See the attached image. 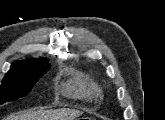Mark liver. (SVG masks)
Returning a JSON list of instances; mask_svg holds the SVG:
<instances>
[{
  "instance_id": "obj_1",
  "label": "liver",
  "mask_w": 165,
  "mask_h": 120,
  "mask_svg": "<svg viewBox=\"0 0 165 120\" xmlns=\"http://www.w3.org/2000/svg\"><path fill=\"white\" fill-rule=\"evenodd\" d=\"M81 115L80 111L72 109H59L55 111H44L34 113H22L13 115L7 120H73Z\"/></svg>"
}]
</instances>
